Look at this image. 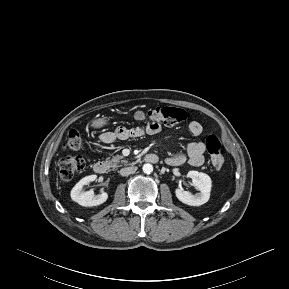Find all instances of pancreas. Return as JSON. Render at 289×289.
Wrapping results in <instances>:
<instances>
[{"instance_id": "pancreas-1", "label": "pancreas", "mask_w": 289, "mask_h": 289, "mask_svg": "<svg viewBox=\"0 0 289 289\" xmlns=\"http://www.w3.org/2000/svg\"><path fill=\"white\" fill-rule=\"evenodd\" d=\"M123 156L122 155H117L114 156L112 159H107L106 162L110 164L112 167L117 168L118 163L121 162L122 164L126 163V160H122Z\"/></svg>"}]
</instances>
